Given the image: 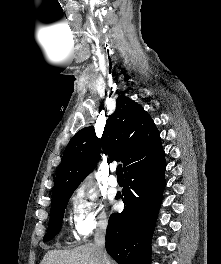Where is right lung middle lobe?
Listing matches in <instances>:
<instances>
[{
	"label": "right lung middle lobe",
	"mask_w": 221,
	"mask_h": 264,
	"mask_svg": "<svg viewBox=\"0 0 221 264\" xmlns=\"http://www.w3.org/2000/svg\"><path fill=\"white\" fill-rule=\"evenodd\" d=\"M71 195L72 193L61 195L51 201L48 232L44 236V240H51L56 234L60 232L64 211Z\"/></svg>",
	"instance_id": "1"
}]
</instances>
